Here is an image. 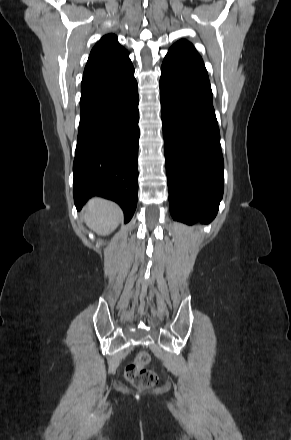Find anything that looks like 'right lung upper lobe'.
<instances>
[{"label":"right lung upper lobe","mask_w":291,"mask_h":440,"mask_svg":"<svg viewBox=\"0 0 291 440\" xmlns=\"http://www.w3.org/2000/svg\"><path fill=\"white\" fill-rule=\"evenodd\" d=\"M132 66L128 51L122 47L114 34H108L93 47L83 79L105 77L120 73Z\"/></svg>","instance_id":"right-lung-upper-lobe-1"}]
</instances>
